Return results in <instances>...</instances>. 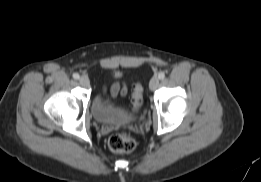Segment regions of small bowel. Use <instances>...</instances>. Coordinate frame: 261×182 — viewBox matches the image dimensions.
Segmentation results:
<instances>
[{
    "label": "small bowel",
    "mask_w": 261,
    "mask_h": 182,
    "mask_svg": "<svg viewBox=\"0 0 261 182\" xmlns=\"http://www.w3.org/2000/svg\"><path fill=\"white\" fill-rule=\"evenodd\" d=\"M105 91L112 97H124L126 95V87L120 82L112 84L108 89H105Z\"/></svg>",
    "instance_id": "1"
}]
</instances>
